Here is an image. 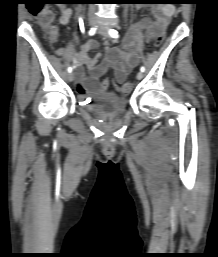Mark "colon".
Here are the masks:
<instances>
[{"label":"colon","instance_id":"5ec220e1","mask_svg":"<svg viewBox=\"0 0 218 257\" xmlns=\"http://www.w3.org/2000/svg\"><path fill=\"white\" fill-rule=\"evenodd\" d=\"M27 10H36L35 13L40 17L41 23L43 25H49L52 20V13L42 8L41 5H27ZM170 30L169 26H164L163 30L157 31V38L154 41L155 46H159L163 39L166 38L167 31ZM99 90H105V94H118L119 93V85L118 82H115V79H110L109 76H104L103 80L101 82V85H99ZM123 92L129 93L132 90V83L126 82L122 87Z\"/></svg>","mask_w":218,"mask_h":257}]
</instances>
